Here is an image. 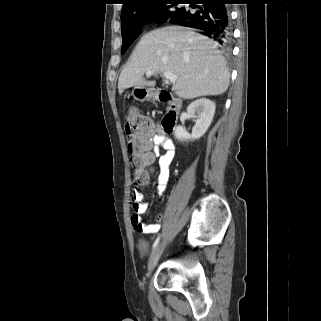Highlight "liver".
Here are the masks:
<instances>
[{"instance_id":"1","label":"liver","mask_w":321,"mask_h":321,"mask_svg":"<svg viewBox=\"0 0 321 321\" xmlns=\"http://www.w3.org/2000/svg\"><path fill=\"white\" fill-rule=\"evenodd\" d=\"M217 43L187 28L169 26L144 35L130 62L122 70L118 91L154 86L146 81L147 71L170 72L177 76L172 91L183 99L220 95L228 89L229 72Z\"/></svg>"}]
</instances>
